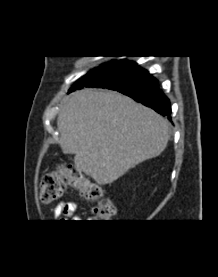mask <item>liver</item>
I'll return each instance as SVG.
<instances>
[{"label": "liver", "mask_w": 218, "mask_h": 277, "mask_svg": "<svg viewBox=\"0 0 218 277\" xmlns=\"http://www.w3.org/2000/svg\"><path fill=\"white\" fill-rule=\"evenodd\" d=\"M63 153L100 185L154 158L168 143V122L116 91L82 89L63 98L57 118Z\"/></svg>", "instance_id": "6515ba94"}]
</instances>
